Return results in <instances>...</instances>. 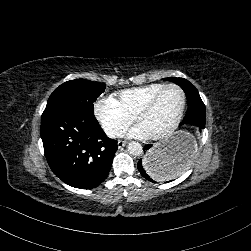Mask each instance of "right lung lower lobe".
Here are the masks:
<instances>
[{"label":"right lung lower lobe","instance_id":"98d812e1","mask_svg":"<svg viewBox=\"0 0 251 251\" xmlns=\"http://www.w3.org/2000/svg\"><path fill=\"white\" fill-rule=\"evenodd\" d=\"M40 133L51 170L66 184L91 189L108 176L117 141L105 135L94 114L45 109Z\"/></svg>","mask_w":251,"mask_h":251}]
</instances>
